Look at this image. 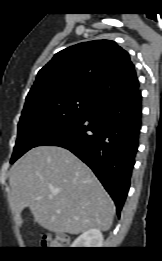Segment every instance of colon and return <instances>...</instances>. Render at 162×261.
<instances>
[{"label":"colon","mask_w":162,"mask_h":261,"mask_svg":"<svg viewBox=\"0 0 162 261\" xmlns=\"http://www.w3.org/2000/svg\"><path fill=\"white\" fill-rule=\"evenodd\" d=\"M66 245V242L62 241L59 237L55 236H50L43 241V246L50 249H62Z\"/></svg>","instance_id":"colon-1"}]
</instances>
